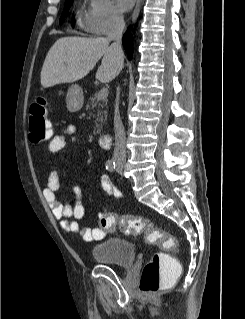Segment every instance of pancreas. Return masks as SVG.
<instances>
[{
    "instance_id": "obj_1",
    "label": "pancreas",
    "mask_w": 245,
    "mask_h": 319,
    "mask_svg": "<svg viewBox=\"0 0 245 319\" xmlns=\"http://www.w3.org/2000/svg\"><path fill=\"white\" fill-rule=\"evenodd\" d=\"M107 101L105 99H99L98 94H94L92 97H90L89 102L86 105V110L90 112V114L94 115L92 111L94 109L97 110V118L95 120V127H94V133H100L102 123L107 118V111L102 109L106 106Z\"/></svg>"
}]
</instances>
